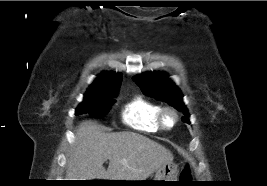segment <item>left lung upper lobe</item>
<instances>
[{"mask_svg":"<svg viewBox=\"0 0 267 186\" xmlns=\"http://www.w3.org/2000/svg\"><path fill=\"white\" fill-rule=\"evenodd\" d=\"M133 80L145 95L167 102L177 110L182 111L186 116L182 120L189 124V114L183 103V96L179 88L168 79L165 73H144L135 76Z\"/></svg>","mask_w":267,"mask_h":186,"instance_id":"5c2ea615","label":"left lung upper lobe"}]
</instances>
